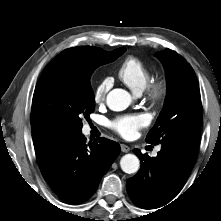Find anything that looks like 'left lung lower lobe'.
I'll list each match as a JSON object with an SVG mask.
<instances>
[{"label": "left lung lower lobe", "mask_w": 221, "mask_h": 221, "mask_svg": "<svg viewBox=\"0 0 221 221\" xmlns=\"http://www.w3.org/2000/svg\"><path fill=\"white\" fill-rule=\"evenodd\" d=\"M133 152L141 161L139 172L128 179L131 200L144 209H155L173 199L183 188L197 159V149L164 143L156 158Z\"/></svg>", "instance_id": "0a47b994"}]
</instances>
